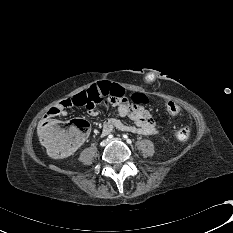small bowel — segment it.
Returning <instances> with one entry per match:
<instances>
[{
	"label": "small bowel",
	"instance_id": "obj_1",
	"mask_svg": "<svg viewBox=\"0 0 233 233\" xmlns=\"http://www.w3.org/2000/svg\"><path fill=\"white\" fill-rule=\"evenodd\" d=\"M94 84L93 86H95ZM115 94L110 93L100 98L98 109L100 111H107L110 107L117 108L118 115L121 118H128L132 120L133 124H127L117 118H107L103 123V132L110 133L113 130H120L144 136L154 137L158 134V130L154 124L153 118L150 112L141 104V101H131L125 94V91L121 97L117 100ZM110 103V105H109ZM107 105L106 107H104ZM74 105L71 99L62 100L57 106L48 110L43 118V122L46 123L49 119L56 116H66L68 109ZM94 113V111H92ZM43 123V124H44ZM42 124V125H43Z\"/></svg>",
	"mask_w": 233,
	"mask_h": 233
}]
</instances>
